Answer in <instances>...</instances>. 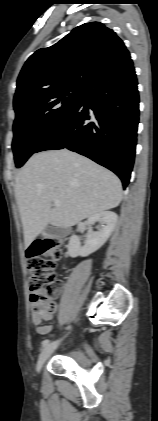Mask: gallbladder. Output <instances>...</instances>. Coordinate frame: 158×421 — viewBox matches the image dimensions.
Wrapping results in <instances>:
<instances>
[{"mask_svg":"<svg viewBox=\"0 0 158 421\" xmlns=\"http://www.w3.org/2000/svg\"><path fill=\"white\" fill-rule=\"evenodd\" d=\"M67 231L64 228H59L55 226H48L45 230L46 237L52 238H63L66 235Z\"/></svg>","mask_w":158,"mask_h":421,"instance_id":"obj_1","label":"gallbladder"}]
</instances>
